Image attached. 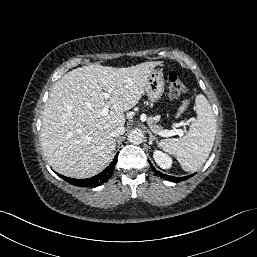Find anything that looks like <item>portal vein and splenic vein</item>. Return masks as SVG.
<instances>
[{
	"mask_svg": "<svg viewBox=\"0 0 257 257\" xmlns=\"http://www.w3.org/2000/svg\"><path fill=\"white\" fill-rule=\"evenodd\" d=\"M111 91L109 90L108 92H102L101 95L104 96V98H109ZM109 113V106L105 105L104 108L101 110V115L106 116ZM141 120L145 121L146 120V115L142 114L141 115ZM162 137H170L173 135H182L183 131L180 129H173V130H164L156 133Z\"/></svg>",
	"mask_w": 257,
	"mask_h": 257,
	"instance_id": "18ae733b",
	"label": "portal vein and splenic vein"
}]
</instances>
